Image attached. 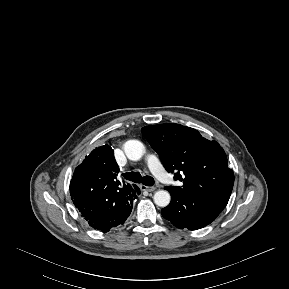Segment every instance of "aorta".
<instances>
[{
    "mask_svg": "<svg viewBox=\"0 0 289 289\" xmlns=\"http://www.w3.org/2000/svg\"><path fill=\"white\" fill-rule=\"evenodd\" d=\"M124 151L128 159L137 161L144 154V145L138 140H128L124 144ZM170 199L169 192L165 190H159L154 194V203L159 207L168 206Z\"/></svg>",
    "mask_w": 289,
    "mask_h": 289,
    "instance_id": "1",
    "label": "aorta"
}]
</instances>
